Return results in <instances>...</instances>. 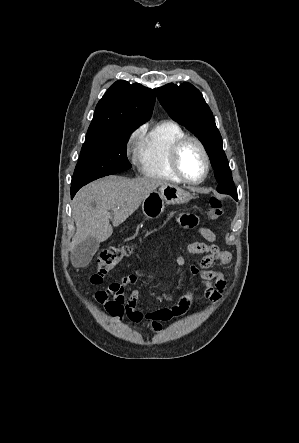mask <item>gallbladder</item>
Wrapping results in <instances>:
<instances>
[{
	"mask_svg": "<svg viewBox=\"0 0 299 443\" xmlns=\"http://www.w3.org/2000/svg\"><path fill=\"white\" fill-rule=\"evenodd\" d=\"M100 243L93 237H88L75 246L73 262L79 266H86L98 251Z\"/></svg>",
	"mask_w": 299,
	"mask_h": 443,
	"instance_id": "1",
	"label": "gallbladder"
}]
</instances>
